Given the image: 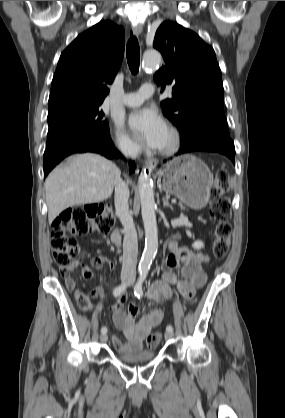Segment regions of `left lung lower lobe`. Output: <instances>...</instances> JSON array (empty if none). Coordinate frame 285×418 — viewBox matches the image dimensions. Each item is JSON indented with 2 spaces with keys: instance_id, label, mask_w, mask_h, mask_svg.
Listing matches in <instances>:
<instances>
[{
  "instance_id": "obj_1",
  "label": "left lung lower lobe",
  "mask_w": 285,
  "mask_h": 418,
  "mask_svg": "<svg viewBox=\"0 0 285 418\" xmlns=\"http://www.w3.org/2000/svg\"><path fill=\"white\" fill-rule=\"evenodd\" d=\"M193 151L217 152L227 156L234 163L235 147L230 137L219 134H210L197 138L187 144L181 145L177 154Z\"/></svg>"
}]
</instances>
